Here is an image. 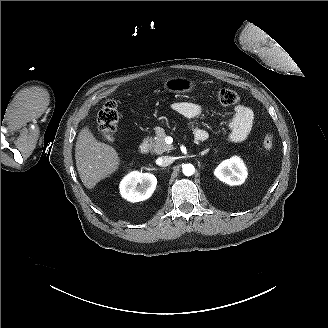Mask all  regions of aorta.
I'll use <instances>...</instances> for the list:
<instances>
[{
    "label": "aorta",
    "instance_id": "762f6f07",
    "mask_svg": "<svg viewBox=\"0 0 328 328\" xmlns=\"http://www.w3.org/2000/svg\"><path fill=\"white\" fill-rule=\"evenodd\" d=\"M195 168L192 164H184L182 166V172L185 176H191L194 174Z\"/></svg>",
    "mask_w": 328,
    "mask_h": 328
}]
</instances>
